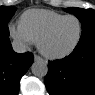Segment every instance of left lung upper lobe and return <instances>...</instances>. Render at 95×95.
Here are the masks:
<instances>
[{
  "mask_svg": "<svg viewBox=\"0 0 95 95\" xmlns=\"http://www.w3.org/2000/svg\"><path fill=\"white\" fill-rule=\"evenodd\" d=\"M64 10L73 13L80 20L82 25L80 41L95 36V10L82 8H66Z\"/></svg>",
  "mask_w": 95,
  "mask_h": 95,
  "instance_id": "1",
  "label": "left lung upper lobe"
}]
</instances>
